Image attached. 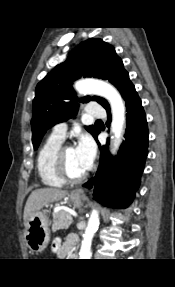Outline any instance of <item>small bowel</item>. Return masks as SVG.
<instances>
[{
    "mask_svg": "<svg viewBox=\"0 0 175 287\" xmlns=\"http://www.w3.org/2000/svg\"><path fill=\"white\" fill-rule=\"evenodd\" d=\"M78 242V238L75 235H70L64 243L59 238L53 240L51 249L59 258H66L69 256L70 251L74 245Z\"/></svg>",
    "mask_w": 175,
    "mask_h": 287,
    "instance_id": "1",
    "label": "small bowel"
}]
</instances>
